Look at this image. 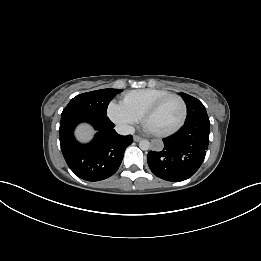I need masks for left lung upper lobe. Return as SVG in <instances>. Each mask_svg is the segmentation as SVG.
Here are the masks:
<instances>
[{
	"label": "left lung upper lobe",
	"instance_id": "obj_1",
	"mask_svg": "<svg viewBox=\"0 0 261 261\" xmlns=\"http://www.w3.org/2000/svg\"><path fill=\"white\" fill-rule=\"evenodd\" d=\"M187 106V118L185 123H189L198 119L208 118L204 105L196 98L180 93Z\"/></svg>",
	"mask_w": 261,
	"mask_h": 261
}]
</instances>
